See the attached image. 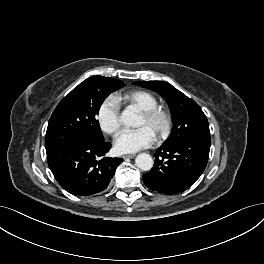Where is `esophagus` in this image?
<instances>
[{
	"mask_svg": "<svg viewBox=\"0 0 264 264\" xmlns=\"http://www.w3.org/2000/svg\"><path fill=\"white\" fill-rule=\"evenodd\" d=\"M136 155L135 154H126L123 156L124 159H132L134 158Z\"/></svg>",
	"mask_w": 264,
	"mask_h": 264,
	"instance_id": "esophagus-1",
	"label": "esophagus"
}]
</instances>
